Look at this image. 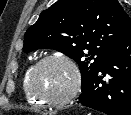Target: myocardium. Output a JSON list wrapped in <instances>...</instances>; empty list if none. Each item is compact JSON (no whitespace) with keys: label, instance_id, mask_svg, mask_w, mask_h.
I'll list each match as a JSON object with an SVG mask.
<instances>
[{"label":"myocardium","instance_id":"myocardium-1","mask_svg":"<svg viewBox=\"0 0 131 115\" xmlns=\"http://www.w3.org/2000/svg\"><path fill=\"white\" fill-rule=\"evenodd\" d=\"M62 61L64 62L72 71L73 74V83L70 90L60 98L52 99L41 93H39L35 88V76L42 65L49 61ZM82 76L78 65L73 59L64 54H49L38 60L32 67L29 76H28V88L30 93L38 99L42 104L52 106V107H61L71 101L79 92L81 88Z\"/></svg>","mask_w":131,"mask_h":115}]
</instances>
